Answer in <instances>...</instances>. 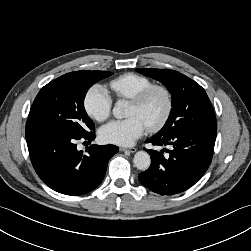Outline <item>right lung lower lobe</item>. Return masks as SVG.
<instances>
[{
	"mask_svg": "<svg viewBox=\"0 0 251 251\" xmlns=\"http://www.w3.org/2000/svg\"><path fill=\"white\" fill-rule=\"evenodd\" d=\"M95 134L76 136L49 126L26 123V141L32 165L40 179L53 190L66 195H82L103 180L115 145H91L78 151L77 140L91 143Z\"/></svg>",
	"mask_w": 251,
	"mask_h": 251,
	"instance_id": "98d812e1",
	"label": "right lung lower lobe"
}]
</instances>
